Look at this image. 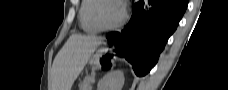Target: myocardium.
<instances>
[{
	"label": "myocardium",
	"instance_id": "obj_1",
	"mask_svg": "<svg viewBox=\"0 0 228 90\" xmlns=\"http://www.w3.org/2000/svg\"><path fill=\"white\" fill-rule=\"evenodd\" d=\"M96 1H97V3H96V5L93 8L92 16H93V20H94L95 24L101 30H114V29H117V28L121 27L125 23V21L127 19V10H126L124 4L121 1H119V0H96ZM105 2L117 3V4H119L122 7V16L118 20V22H116L113 25H105L101 21V19L99 18L98 12H99L100 6H101L102 3H105Z\"/></svg>",
	"mask_w": 228,
	"mask_h": 90
}]
</instances>
